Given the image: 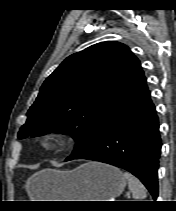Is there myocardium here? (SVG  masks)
<instances>
[{
  "label": "myocardium",
  "mask_w": 176,
  "mask_h": 211,
  "mask_svg": "<svg viewBox=\"0 0 176 211\" xmlns=\"http://www.w3.org/2000/svg\"><path fill=\"white\" fill-rule=\"evenodd\" d=\"M39 144L45 151H54L66 147L69 140L65 134L54 131L43 134L39 138Z\"/></svg>",
  "instance_id": "myocardium-1"
}]
</instances>
